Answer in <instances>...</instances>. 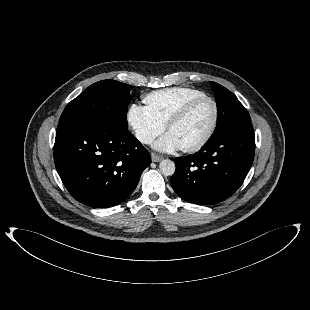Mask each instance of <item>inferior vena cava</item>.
<instances>
[{
	"mask_svg": "<svg viewBox=\"0 0 310 310\" xmlns=\"http://www.w3.org/2000/svg\"><path fill=\"white\" fill-rule=\"evenodd\" d=\"M137 138L145 144H149L153 141V137L151 135L137 134Z\"/></svg>",
	"mask_w": 310,
	"mask_h": 310,
	"instance_id": "602c4592",
	"label": "inferior vena cava"
}]
</instances>
